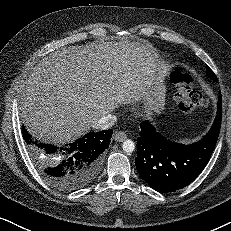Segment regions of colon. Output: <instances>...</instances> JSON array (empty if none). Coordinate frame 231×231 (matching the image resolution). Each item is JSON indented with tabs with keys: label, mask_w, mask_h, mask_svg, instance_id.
Segmentation results:
<instances>
[{
	"label": "colon",
	"mask_w": 231,
	"mask_h": 231,
	"mask_svg": "<svg viewBox=\"0 0 231 231\" xmlns=\"http://www.w3.org/2000/svg\"><path fill=\"white\" fill-rule=\"evenodd\" d=\"M171 79L175 84V99L181 111L191 113L207 106V98L192 90L194 78L190 73L173 70Z\"/></svg>",
	"instance_id": "5ec220e1"
}]
</instances>
